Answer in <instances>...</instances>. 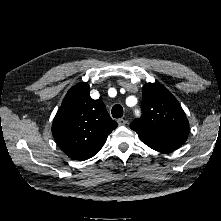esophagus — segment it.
Masks as SVG:
<instances>
[{
  "label": "esophagus",
  "instance_id": "1",
  "mask_svg": "<svg viewBox=\"0 0 221 221\" xmlns=\"http://www.w3.org/2000/svg\"><path fill=\"white\" fill-rule=\"evenodd\" d=\"M117 122H118L119 125H125V124H127V120H125V119H123V118L118 119Z\"/></svg>",
  "mask_w": 221,
  "mask_h": 221
}]
</instances>
